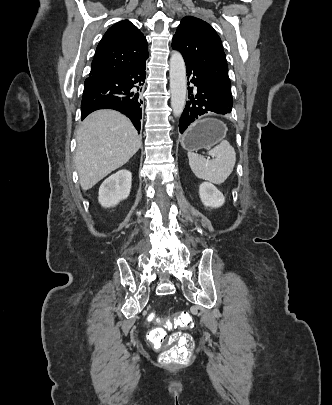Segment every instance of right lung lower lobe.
Segmentation results:
<instances>
[{
	"instance_id": "obj_1",
	"label": "right lung lower lobe",
	"mask_w": 332,
	"mask_h": 405,
	"mask_svg": "<svg viewBox=\"0 0 332 405\" xmlns=\"http://www.w3.org/2000/svg\"><path fill=\"white\" fill-rule=\"evenodd\" d=\"M145 77V61L125 70L90 75L84 84L81 119L95 110L111 108L129 117L140 131L143 101L139 92Z\"/></svg>"
}]
</instances>
